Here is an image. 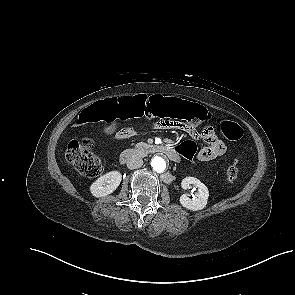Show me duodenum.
<instances>
[{
    "label": "duodenum",
    "mask_w": 295,
    "mask_h": 295,
    "mask_svg": "<svg viewBox=\"0 0 295 295\" xmlns=\"http://www.w3.org/2000/svg\"><path fill=\"white\" fill-rule=\"evenodd\" d=\"M150 151L158 152L167 156L170 160L178 162L180 160V155L173 147L168 145H153L149 147ZM141 150L139 149H127L123 151L120 155V162L125 164L132 159L140 156Z\"/></svg>",
    "instance_id": "410a0bca"
}]
</instances>
